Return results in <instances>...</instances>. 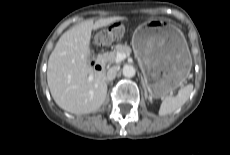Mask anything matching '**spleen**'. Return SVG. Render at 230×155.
I'll return each mask as SVG.
<instances>
[{"label": "spleen", "mask_w": 230, "mask_h": 155, "mask_svg": "<svg viewBox=\"0 0 230 155\" xmlns=\"http://www.w3.org/2000/svg\"><path fill=\"white\" fill-rule=\"evenodd\" d=\"M192 90H193V85L189 84L181 88L176 96L165 97V99L161 103L159 109V115L165 116L181 108L188 100Z\"/></svg>", "instance_id": "3e777b00"}]
</instances>
